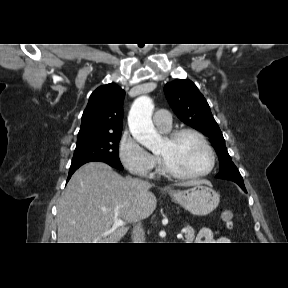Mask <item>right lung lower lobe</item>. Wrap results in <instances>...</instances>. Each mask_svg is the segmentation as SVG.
Masks as SVG:
<instances>
[{
	"instance_id": "obj_1",
	"label": "right lung lower lobe",
	"mask_w": 288,
	"mask_h": 288,
	"mask_svg": "<svg viewBox=\"0 0 288 288\" xmlns=\"http://www.w3.org/2000/svg\"><path fill=\"white\" fill-rule=\"evenodd\" d=\"M90 162V161H89ZM87 163V162H85ZM85 163H81V164H77V165H71L70 169H69V174H68V179L67 181L70 179L71 175L83 164Z\"/></svg>"
}]
</instances>
